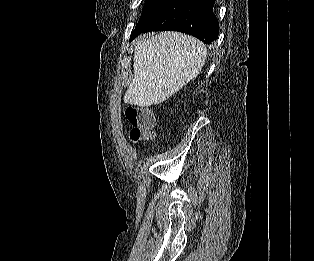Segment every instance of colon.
I'll list each match as a JSON object with an SVG mask.
<instances>
[{
    "label": "colon",
    "mask_w": 314,
    "mask_h": 261,
    "mask_svg": "<svg viewBox=\"0 0 314 261\" xmlns=\"http://www.w3.org/2000/svg\"><path fill=\"white\" fill-rule=\"evenodd\" d=\"M125 117L131 125L129 138L132 142L137 143L141 140L153 138L155 116L149 108L141 106H128L125 109Z\"/></svg>",
    "instance_id": "5ec220e1"
}]
</instances>
